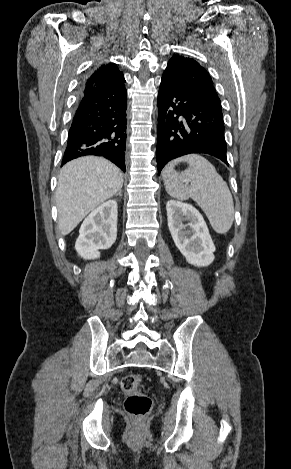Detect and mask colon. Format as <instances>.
I'll return each instance as SVG.
<instances>
[{
  "label": "colon",
  "mask_w": 291,
  "mask_h": 469,
  "mask_svg": "<svg viewBox=\"0 0 291 469\" xmlns=\"http://www.w3.org/2000/svg\"><path fill=\"white\" fill-rule=\"evenodd\" d=\"M142 384V377L137 374L126 375L121 380V389L126 396L124 407L134 419H143L152 409V400L142 392Z\"/></svg>",
  "instance_id": "obj_1"
}]
</instances>
